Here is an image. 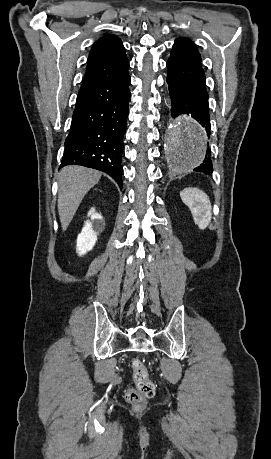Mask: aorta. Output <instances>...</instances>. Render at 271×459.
Here are the masks:
<instances>
[{"mask_svg": "<svg viewBox=\"0 0 271 459\" xmlns=\"http://www.w3.org/2000/svg\"><path fill=\"white\" fill-rule=\"evenodd\" d=\"M206 143V134L197 123H171L165 136V155L170 169L191 171L203 161Z\"/></svg>", "mask_w": 271, "mask_h": 459, "instance_id": "762f6f07", "label": "aorta"}]
</instances>
